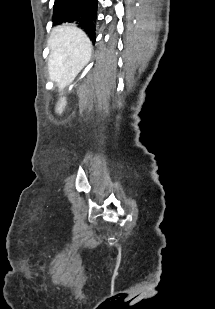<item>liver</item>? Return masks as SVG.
Returning a JSON list of instances; mask_svg holds the SVG:
<instances>
[{
  "label": "liver",
  "instance_id": "obj_1",
  "mask_svg": "<svg viewBox=\"0 0 215 309\" xmlns=\"http://www.w3.org/2000/svg\"><path fill=\"white\" fill-rule=\"evenodd\" d=\"M49 74L63 90L73 82L92 54L90 38L76 24L54 26L49 38Z\"/></svg>",
  "mask_w": 215,
  "mask_h": 309
}]
</instances>
